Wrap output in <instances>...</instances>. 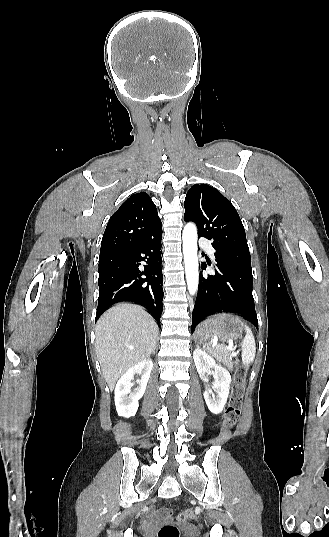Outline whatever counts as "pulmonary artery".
I'll return each instance as SVG.
<instances>
[{"instance_id": "e3ab8cb5", "label": "pulmonary artery", "mask_w": 329, "mask_h": 537, "mask_svg": "<svg viewBox=\"0 0 329 537\" xmlns=\"http://www.w3.org/2000/svg\"><path fill=\"white\" fill-rule=\"evenodd\" d=\"M199 243H200L201 246H203L208 251V253L210 255L214 254V249H213V247L211 246L210 242L207 239L201 238L199 240Z\"/></svg>"}]
</instances>
